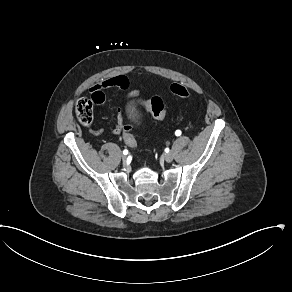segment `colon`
Listing matches in <instances>:
<instances>
[{"label": "colon", "mask_w": 292, "mask_h": 292, "mask_svg": "<svg viewBox=\"0 0 292 292\" xmlns=\"http://www.w3.org/2000/svg\"><path fill=\"white\" fill-rule=\"evenodd\" d=\"M172 92L184 97L186 96L185 89L179 84L173 86ZM105 101V94L102 91H95L89 96H81L77 99L74 107V114L80 124L83 126H90L94 119V109L100 106ZM135 106L137 108L145 109L152 116L158 120H163L166 116V108L161 98L152 97L150 100H136ZM131 125L126 124L123 127V139L126 146L134 149L137 146V141L133 134L130 133Z\"/></svg>", "instance_id": "obj_1"}]
</instances>
